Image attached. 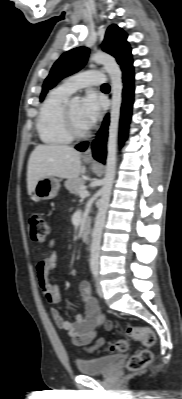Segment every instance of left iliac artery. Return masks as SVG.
Wrapping results in <instances>:
<instances>
[{"label":"left iliac artery","mask_w":182,"mask_h":399,"mask_svg":"<svg viewBox=\"0 0 182 399\" xmlns=\"http://www.w3.org/2000/svg\"><path fill=\"white\" fill-rule=\"evenodd\" d=\"M93 275H94L95 278L97 277V275H98V269L97 268L93 269Z\"/></svg>","instance_id":"obj_1"}]
</instances>
